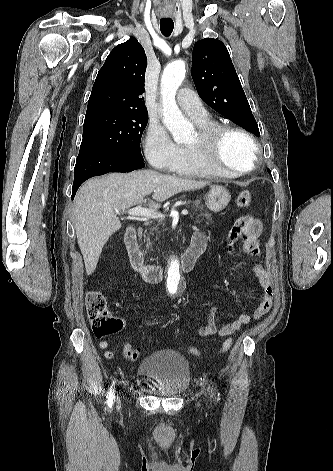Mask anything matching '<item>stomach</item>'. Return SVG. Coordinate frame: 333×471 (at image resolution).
Returning <instances> with one entry per match:
<instances>
[{"instance_id": "0dacf381", "label": "stomach", "mask_w": 333, "mask_h": 471, "mask_svg": "<svg viewBox=\"0 0 333 471\" xmlns=\"http://www.w3.org/2000/svg\"><path fill=\"white\" fill-rule=\"evenodd\" d=\"M229 202L230 193L225 187L219 185L213 186L206 197V206L214 213L225 209Z\"/></svg>"}]
</instances>
